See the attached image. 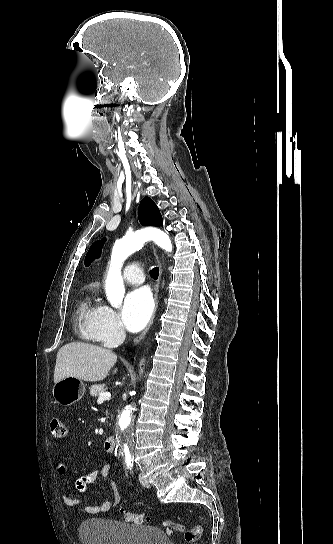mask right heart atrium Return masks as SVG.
Instances as JSON below:
<instances>
[{
  "mask_svg": "<svg viewBox=\"0 0 333 544\" xmlns=\"http://www.w3.org/2000/svg\"><path fill=\"white\" fill-rule=\"evenodd\" d=\"M94 332L99 342L111 346L122 340L124 330L117 313L107 305H101L94 320Z\"/></svg>",
  "mask_w": 333,
  "mask_h": 544,
  "instance_id": "d8ad5b80",
  "label": "right heart atrium"
}]
</instances>
